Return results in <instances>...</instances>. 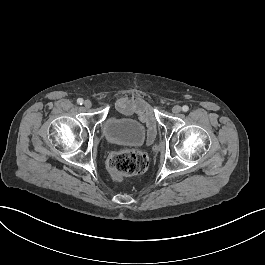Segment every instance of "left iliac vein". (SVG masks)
<instances>
[{"label": "left iliac vein", "instance_id": "obj_1", "mask_svg": "<svg viewBox=\"0 0 265 265\" xmlns=\"http://www.w3.org/2000/svg\"><path fill=\"white\" fill-rule=\"evenodd\" d=\"M172 112L173 113H179L181 112V107L179 105H175L173 108H172Z\"/></svg>", "mask_w": 265, "mask_h": 265}]
</instances>
